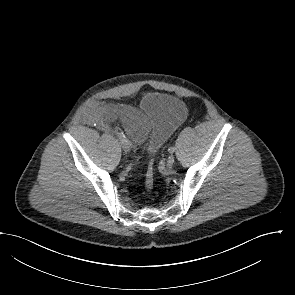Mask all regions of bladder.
<instances>
[{"mask_svg": "<svg viewBox=\"0 0 295 295\" xmlns=\"http://www.w3.org/2000/svg\"><path fill=\"white\" fill-rule=\"evenodd\" d=\"M139 111L152 126L151 136L146 144L149 154H155L187 116L186 105L176 96L166 93L147 94L142 99Z\"/></svg>", "mask_w": 295, "mask_h": 295, "instance_id": "obj_1", "label": "bladder"}]
</instances>
